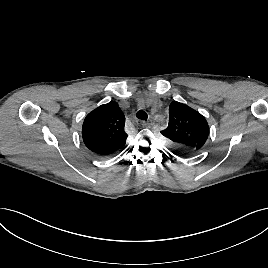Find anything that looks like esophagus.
Returning <instances> with one entry per match:
<instances>
[{"label": "esophagus", "mask_w": 268, "mask_h": 268, "mask_svg": "<svg viewBox=\"0 0 268 268\" xmlns=\"http://www.w3.org/2000/svg\"><path fill=\"white\" fill-rule=\"evenodd\" d=\"M137 123L142 125V126H146L148 123H146L145 121L142 120H137Z\"/></svg>", "instance_id": "1"}]
</instances>
